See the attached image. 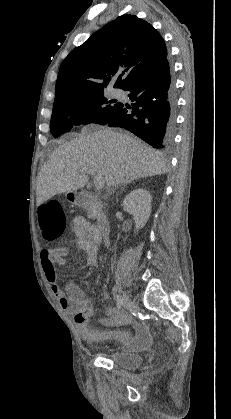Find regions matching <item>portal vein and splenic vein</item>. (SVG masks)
Segmentation results:
<instances>
[{"mask_svg":"<svg viewBox=\"0 0 231 419\" xmlns=\"http://www.w3.org/2000/svg\"><path fill=\"white\" fill-rule=\"evenodd\" d=\"M80 173H82V174L87 173V174L93 175L94 176V185H95V188L97 190H100V189H102L104 187V179H103V177L101 175H96L95 170H93V169H85V170H81Z\"/></svg>","mask_w":231,"mask_h":419,"instance_id":"portal-vein-and-splenic-vein-1","label":"portal vein and splenic vein"}]
</instances>
